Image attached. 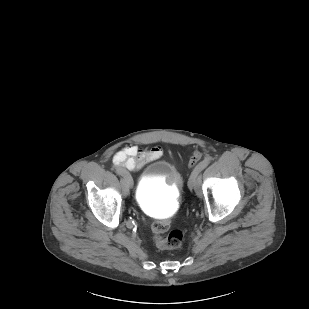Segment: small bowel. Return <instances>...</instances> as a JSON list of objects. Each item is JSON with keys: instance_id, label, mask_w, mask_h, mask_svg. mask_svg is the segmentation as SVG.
<instances>
[{"instance_id": "obj_1", "label": "small bowel", "mask_w": 309, "mask_h": 309, "mask_svg": "<svg viewBox=\"0 0 309 309\" xmlns=\"http://www.w3.org/2000/svg\"><path fill=\"white\" fill-rule=\"evenodd\" d=\"M162 149L158 146L150 149H141L135 145H129L118 151L113 162L119 167H125L129 170H140L147 163L160 158Z\"/></svg>"}]
</instances>
